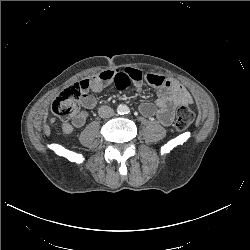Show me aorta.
Masks as SVG:
<instances>
[{"instance_id":"1","label":"aorta","mask_w":250,"mask_h":250,"mask_svg":"<svg viewBox=\"0 0 250 250\" xmlns=\"http://www.w3.org/2000/svg\"><path fill=\"white\" fill-rule=\"evenodd\" d=\"M117 112L119 114H126L128 112V107L126 105H123V104H120L118 107H117Z\"/></svg>"}]
</instances>
